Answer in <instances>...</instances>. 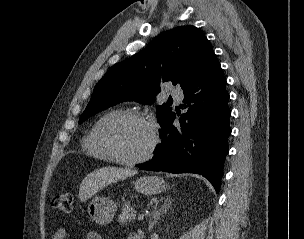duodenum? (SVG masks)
Segmentation results:
<instances>
[{
    "label": "duodenum",
    "instance_id": "1",
    "mask_svg": "<svg viewBox=\"0 0 304 239\" xmlns=\"http://www.w3.org/2000/svg\"><path fill=\"white\" fill-rule=\"evenodd\" d=\"M130 239H141L138 235H132Z\"/></svg>",
    "mask_w": 304,
    "mask_h": 239
}]
</instances>
